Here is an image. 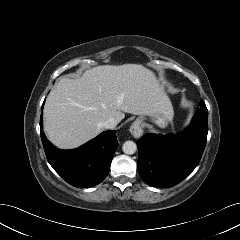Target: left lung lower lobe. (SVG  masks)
<instances>
[{"instance_id": "0a47b994", "label": "left lung lower lobe", "mask_w": 240, "mask_h": 240, "mask_svg": "<svg viewBox=\"0 0 240 240\" xmlns=\"http://www.w3.org/2000/svg\"><path fill=\"white\" fill-rule=\"evenodd\" d=\"M208 133V110L200 109L181 135L145 134L137 141L138 171L145 183L172 187L184 180L198 165Z\"/></svg>"}]
</instances>
